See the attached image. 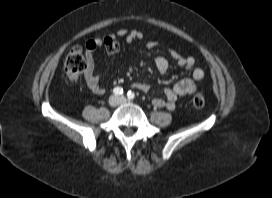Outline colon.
<instances>
[{"label":"colon","instance_id":"5ec220e1","mask_svg":"<svg viewBox=\"0 0 272 198\" xmlns=\"http://www.w3.org/2000/svg\"><path fill=\"white\" fill-rule=\"evenodd\" d=\"M87 64L84 56V51L81 46H73L67 53L64 61V69L68 79L72 83L81 81ZM193 105L196 108H202L205 104L204 97L201 94H196L193 97Z\"/></svg>","mask_w":272,"mask_h":198}]
</instances>
